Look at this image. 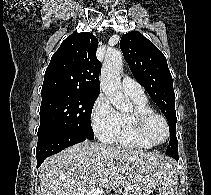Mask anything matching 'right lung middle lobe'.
I'll return each mask as SVG.
<instances>
[{"label": "right lung middle lobe", "mask_w": 211, "mask_h": 195, "mask_svg": "<svg viewBox=\"0 0 211 195\" xmlns=\"http://www.w3.org/2000/svg\"><path fill=\"white\" fill-rule=\"evenodd\" d=\"M41 96L38 139L57 132H77L94 139L90 118L98 95L49 91Z\"/></svg>", "instance_id": "obj_1"}]
</instances>
